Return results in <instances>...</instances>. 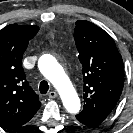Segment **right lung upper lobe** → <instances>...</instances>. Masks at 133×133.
Masks as SVG:
<instances>
[{
    "label": "right lung upper lobe",
    "mask_w": 133,
    "mask_h": 133,
    "mask_svg": "<svg viewBox=\"0 0 133 133\" xmlns=\"http://www.w3.org/2000/svg\"><path fill=\"white\" fill-rule=\"evenodd\" d=\"M38 26L11 24L0 30V124L16 128L27 123L41 102L21 66L23 53Z\"/></svg>",
    "instance_id": "obj_1"
}]
</instances>
